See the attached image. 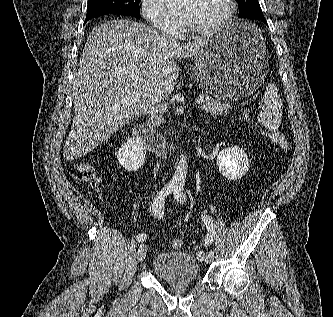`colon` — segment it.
Returning <instances> with one entry per match:
<instances>
[{
  "mask_svg": "<svg viewBox=\"0 0 333 317\" xmlns=\"http://www.w3.org/2000/svg\"><path fill=\"white\" fill-rule=\"evenodd\" d=\"M242 116L245 120L252 123L251 112L249 110L242 111ZM264 137L275 143L281 151L288 149V140L286 136L278 130L274 129H261ZM70 176L76 180L83 181L90 186L98 187L101 183L100 177L95 168L89 163H76L68 168ZM170 247L178 250L182 247V241L173 239L169 243Z\"/></svg>",
  "mask_w": 333,
  "mask_h": 317,
  "instance_id": "colon-1",
  "label": "colon"
}]
</instances>
